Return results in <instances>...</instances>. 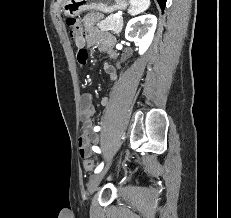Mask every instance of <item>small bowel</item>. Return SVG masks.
<instances>
[{
    "mask_svg": "<svg viewBox=\"0 0 231 218\" xmlns=\"http://www.w3.org/2000/svg\"><path fill=\"white\" fill-rule=\"evenodd\" d=\"M100 17L101 15L96 12L89 13L84 17L83 23L85 29L87 30V35L85 38L77 39L75 41V45L80 49L98 45L101 51L107 53L109 57L115 58L116 54L112 48V36L108 33L101 32L95 28V23ZM77 65H88V58H85L84 56L77 58ZM104 69L106 73L109 75L111 81L113 83L116 82L118 77V67L113 66L109 63H105ZM108 103L109 98L103 97L101 100V105L107 106ZM80 112L85 130L90 131L92 129L91 117L95 113V106L91 94H82L80 99ZM96 140V138H89L87 135H84L79 139V151L82 157L90 155L92 151L91 145Z\"/></svg>",
    "mask_w": 231,
    "mask_h": 218,
    "instance_id": "small-bowel-1",
    "label": "small bowel"
}]
</instances>
